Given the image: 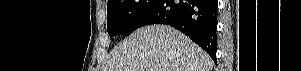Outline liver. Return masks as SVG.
<instances>
[{"instance_id": "obj_1", "label": "liver", "mask_w": 301, "mask_h": 71, "mask_svg": "<svg viewBox=\"0 0 301 71\" xmlns=\"http://www.w3.org/2000/svg\"><path fill=\"white\" fill-rule=\"evenodd\" d=\"M210 56L180 31L148 25L112 51L102 71H211Z\"/></svg>"}]
</instances>
